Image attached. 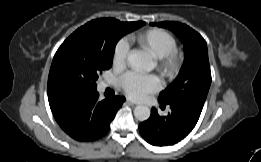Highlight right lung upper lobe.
Listing matches in <instances>:
<instances>
[{"label":"right lung upper lobe","mask_w":261,"mask_h":162,"mask_svg":"<svg viewBox=\"0 0 261 162\" xmlns=\"http://www.w3.org/2000/svg\"><path fill=\"white\" fill-rule=\"evenodd\" d=\"M51 110L56 109L59 107L62 103L61 102H49Z\"/></svg>","instance_id":"obj_1"}]
</instances>
